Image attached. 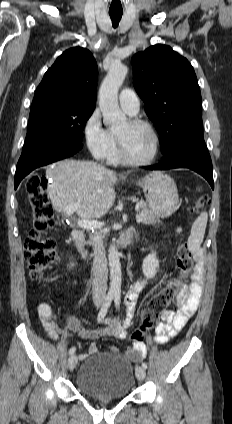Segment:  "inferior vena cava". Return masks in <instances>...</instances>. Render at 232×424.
I'll return each instance as SVG.
<instances>
[{
    "instance_id": "inferior-vena-cava-1",
    "label": "inferior vena cava",
    "mask_w": 232,
    "mask_h": 424,
    "mask_svg": "<svg viewBox=\"0 0 232 424\" xmlns=\"http://www.w3.org/2000/svg\"><path fill=\"white\" fill-rule=\"evenodd\" d=\"M93 245V283L92 296L96 304L104 301L107 291L108 268L102 236L98 232L91 234Z\"/></svg>"
}]
</instances>
